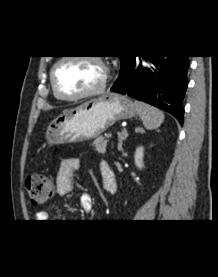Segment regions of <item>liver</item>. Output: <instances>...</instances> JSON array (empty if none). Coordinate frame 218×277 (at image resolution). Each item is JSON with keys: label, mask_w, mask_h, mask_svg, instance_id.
I'll use <instances>...</instances> for the list:
<instances>
[{"label": "liver", "mask_w": 218, "mask_h": 277, "mask_svg": "<svg viewBox=\"0 0 218 277\" xmlns=\"http://www.w3.org/2000/svg\"><path fill=\"white\" fill-rule=\"evenodd\" d=\"M68 112H70V111H67V110H66V111H63V114H66V113H68Z\"/></svg>", "instance_id": "1"}]
</instances>
